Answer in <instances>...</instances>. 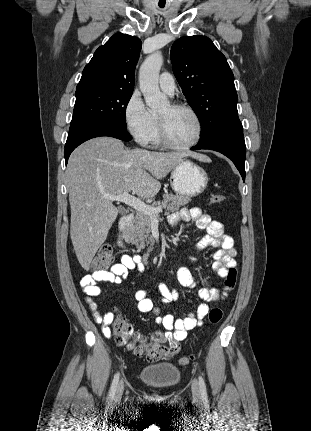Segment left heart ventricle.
Here are the masks:
<instances>
[{"label":"left heart ventricle","instance_id":"obj_1","mask_svg":"<svg viewBox=\"0 0 311 431\" xmlns=\"http://www.w3.org/2000/svg\"><path fill=\"white\" fill-rule=\"evenodd\" d=\"M158 116L165 120L170 138L178 144H188L195 140L198 134V122L186 110H174L166 106Z\"/></svg>","mask_w":311,"mask_h":431}]
</instances>
